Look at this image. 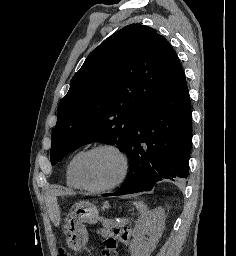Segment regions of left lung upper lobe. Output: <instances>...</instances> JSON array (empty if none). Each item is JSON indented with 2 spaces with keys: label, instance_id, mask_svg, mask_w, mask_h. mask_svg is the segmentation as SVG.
Returning <instances> with one entry per match:
<instances>
[{
  "label": "left lung upper lobe",
  "instance_id": "5c2ea615",
  "mask_svg": "<svg viewBox=\"0 0 236 256\" xmlns=\"http://www.w3.org/2000/svg\"><path fill=\"white\" fill-rule=\"evenodd\" d=\"M183 75L178 56L156 30L141 24L119 30L70 81L57 110L51 163L94 141L126 152L135 120Z\"/></svg>",
  "mask_w": 236,
  "mask_h": 256
}]
</instances>
